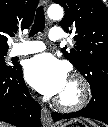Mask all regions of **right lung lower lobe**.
Masks as SVG:
<instances>
[{"label": "right lung lower lobe", "mask_w": 108, "mask_h": 127, "mask_svg": "<svg viewBox=\"0 0 108 127\" xmlns=\"http://www.w3.org/2000/svg\"><path fill=\"white\" fill-rule=\"evenodd\" d=\"M41 108L22 77V67L0 66V120L17 127H38Z\"/></svg>", "instance_id": "1"}]
</instances>
